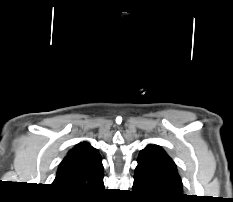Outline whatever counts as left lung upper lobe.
I'll return each mask as SVG.
<instances>
[{
    "instance_id": "left-lung-upper-lobe-1",
    "label": "left lung upper lobe",
    "mask_w": 233,
    "mask_h": 202,
    "mask_svg": "<svg viewBox=\"0 0 233 202\" xmlns=\"http://www.w3.org/2000/svg\"><path fill=\"white\" fill-rule=\"evenodd\" d=\"M134 177L150 189L183 197L182 181L174 161L158 145H148L139 154Z\"/></svg>"
}]
</instances>
